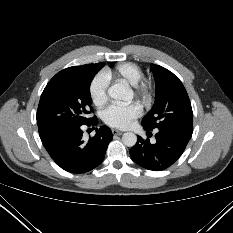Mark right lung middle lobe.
I'll return each mask as SVG.
<instances>
[{
  "label": "right lung middle lobe",
  "mask_w": 233,
  "mask_h": 233,
  "mask_svg": "<svg viewBox=\"0 0 233 233\" xmlns=\"http://www.w3.org/2000/svg\"><path fill=\"white\" fill-rule=\"evenodd\" d=\"M104 63L73 66L57 73L46 85L37 110L39 132L59 126L83 125L91 107L90 84Z\"/></svg>",
  "instance_id": "right-lung-middle-lobe-1"
}]
</instances>
